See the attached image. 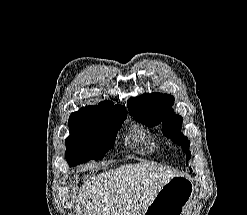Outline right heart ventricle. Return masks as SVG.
I'll return each instance as SVG.
<instances>
[{"instance_id":"1","label":"right heart ventricle","mask_w":247,"mask_h":215,"mask_svg":"<svg viewBox=\"0 0 247 215\" xmlns=\"http://www.w3.org/2000/svg\"><path fill=\"white\" fill-rule=\"evenodd\" d=\"M134 139L138 142V143H145L147 140H149L150 138V133L149 132H145L142 130H137L134 133Z\"/></svg>"}]
</instances>
